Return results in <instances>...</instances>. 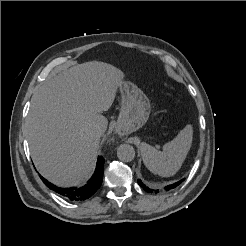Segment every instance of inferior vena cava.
Instances as JSON below:
<instances>
[{
	"mask_svg": "<svg viewBox=\"0 0 246 246\" xmlns=\"http://www.w3.org/2000/svg\"><path fill=\"white\" fill-rule=\"evenodd\" d=\"M94 133H95L96 136L100 137L102 135V133H103V130H102L101 127L97 126V127L94 128Z\"/></svg>",
	"mask_w": 246,
	"mask_h": 246,
	"instance_id": "602c4592",
	"label": "inferior vena cava"
}]
</instances>
